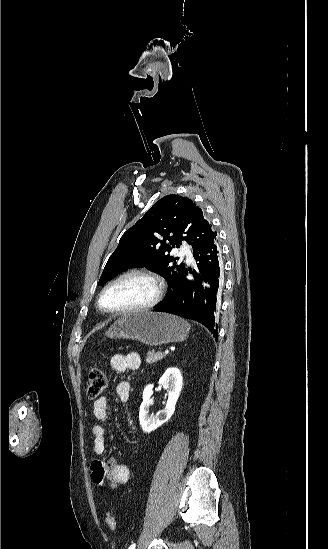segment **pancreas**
I'll return each mask as SVG.
<instances>
[{
  "mask_svg": "<svg viewBox=\"0 0 328 549\" xmlns=\"http://www.w3.org/2000/svg\"><path fill=\"white\" fill-rule=\"evenodd\" d=\"M164 357L165 355L164 353H161V351H158V353H155V351H148L145 361L146 363H149V365H152V363H156V361H161V359H164Z\"/></svg>",
  "mask_w": 328,
  "mask_h": 549,
  "instance_id": "pancreas-1",
  "label": "pancreas"
}]
</instances>
